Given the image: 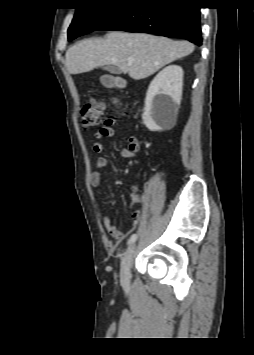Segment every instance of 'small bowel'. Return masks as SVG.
<instances>
[{"mask_svg": "<svg viewBox=\"0 0 254 355\" xmlns=\"http://www.w3.org/2000/svg\"><path fill=\"white\" fill-rule=\"evenodd\" d=\"M118 125V122L115 119L109 118L106 119L104 125L94 134V142L92 149L96 154H101L103 152L102 141L104 139L112 138L115 135V127ZM139 149V141L135 136H130L128 138V145L126 148L120 150V155L124 158H134ZM107 165V160L105 157L100 156L96 159L95 166L96 171H93L90 175V183L93 187H98L101 183V173L99 170L105 168ZM129 207L133 208L140 200L139 189L137 185L133 184L128 193ZM143 216L142 210H137L134 212L133 221L128 228V232L134 230L140 223ZM103 224L107 232L116 240L122 241L126 233L118 229V227L112 222L109 216L103 217Z\"/></svg>", "mask_w": 254, "mask_h": 355, "instance_id": "c3829d8e", "label": "small bowel"}]
</instances>
